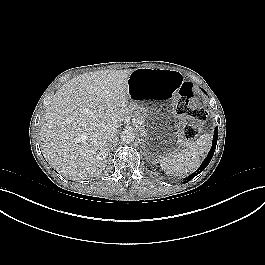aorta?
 <instances>
[{"instance_id":"1","label":"aorta","mask_w":265,"mask_h":265,"mask_svg":"<svg viewBox=\"0 0 265 265\" xmlns=\"http://www.w3.org/2000/svg\"><path fill=\"white\" fill-rule=\"evenodd\" d=\"M135 139V134L133 131H129V130H125L122 134H121V140L125 143H130L133 142Z\"/></svg>"}]
</instances>
